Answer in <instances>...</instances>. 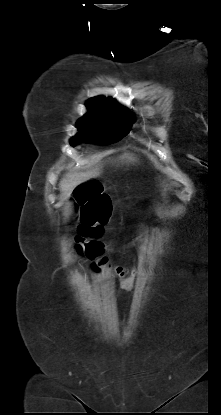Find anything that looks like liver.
I'll list each match as a JSON object with an SVG mask.
<instances>
[{
  "mask_svg": "<svg viewBox=\"0 0 221 415\" xmlns=\"http://www.w3.org/2000/svg\"><path fill=\"white\" fill-rule=\"evenodd\" d=\"M121 160H126L129 162H133L135 159L128 153L123 154L120 157ZM101 174V167L98 165H95L91 169H88L86 171L82 172H73V173H67L63 176L59 183L60 191H61V198L63 200H66L70 197L73 189L81 184L82 182H85L91 178H95L100 176Z\"/></svg>",
  "mask_w": 221,
  "mask_h": 415,
  "instance_id": "obj_1",
  "label": "liver"
}]
</instances>
